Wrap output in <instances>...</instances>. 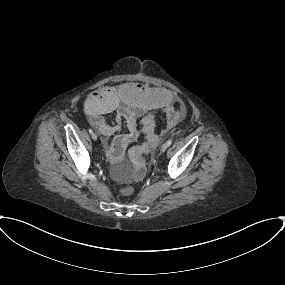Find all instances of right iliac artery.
Returning <instances> with one entry per match:
<instances>
[{
	"instance_id": "82829eb1",
	"label": "right iliac artery",
	"mask_w": 285,
	"mask_h": 285,
	"mask_svg": "<svg viewBox=\"0 0 285 285\" xmlns=\"http://www.w3.org/2000/svg\"><path fill=\"white\" fill-rule=\"evenodd\" d=\"M89 133H90V134H92V133H93L92 129H89Z\"/></svg>"
}]
</instances>
